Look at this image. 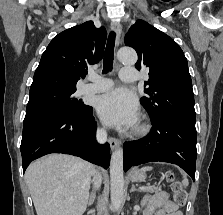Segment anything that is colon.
<instances>
[{
  "mask_svg": "<svg viewBox=\"0 0 223 215\" xmlns=\"http://www.w3.org/2000/svg\"><path fill=\"white\" fill-rule=\"evenodd\" d=\"M167 180L172 185V190L174 194V200L178 206H183L187 201V193L184 190L180 181L175 178L172 171H168L166 174Z\"/></svg>",
  "mask_w": 223,
  "mask_h": 215,
  "instance_id": "colon-1",
  "label": "colon"
}]
</instances>
